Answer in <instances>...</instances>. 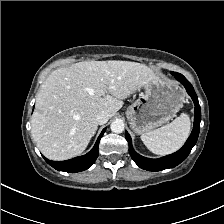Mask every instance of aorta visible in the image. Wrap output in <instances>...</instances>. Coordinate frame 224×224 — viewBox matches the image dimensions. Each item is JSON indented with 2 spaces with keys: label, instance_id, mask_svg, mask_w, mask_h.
Returning <instances> with one entry per match:
<instances>
[{
  "label": "aorta",
  "instance_id": "762f6f07",
  "mask_svg": "<svg viewBox=\"0 0 224 224\" xmlns=\"http://www.w3.org/2000/svg\"><path fill=\"white\" fill-rule=\"evenodd\" d=\"M110 128L114 133H122L124 131V122L120 119H116L111 123Z\"/></svg>",
  "mask_w": 224,
  "mask_h": 224
}]
</instances>
